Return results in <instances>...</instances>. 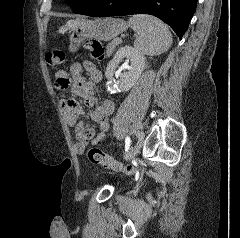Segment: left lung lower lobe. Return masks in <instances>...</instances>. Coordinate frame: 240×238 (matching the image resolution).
Instances as JSON below:
<instances>
[{
    "label": "left lung lower lobe",
    "mask_w": 240,
    "mask_h": 238,
    "mask_svg": "<svg viewBox=\"0 0 240 238\" xmlns=\"http://www.w3.org/2000/svg\"><path fill=\"white\" fill-rule=\"evenodd\" d=\"M198 0H95L79 14L91 17L150 14L166 22L182 39Z\"/></svg>",
    "instance_id": "left-lung-lower-lobe-1"
}]
</instances>
